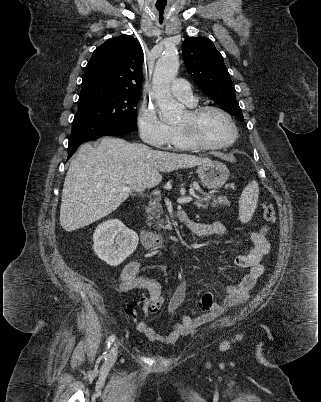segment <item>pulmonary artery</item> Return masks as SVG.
Wrapping results in <instances>:
<instances>
[{"mask_svg": "<svg viewBox=\"0 0 321 402\" xmlns=\"http://www.w3.org/2000/svg\"><path fill=\"white\" fill-rule=\"evenodd\" d=\"M170 90L172 94L184 103L191 105L196 103L191 86L183 79H176L171 84Z\"/></svg>", "mask_w": 321, "mask_h": 402, "instance_id": "obj_1", "label": "pulmonary artery"}]
</instances>
